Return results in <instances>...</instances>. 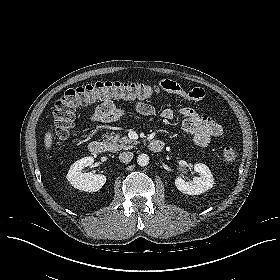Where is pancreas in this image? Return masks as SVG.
I'll return each mask as SVG.
<instances>
[{"label": "pancreas", "instance_id": "cf45deb5", "mask_svg": "<svg viewBox=\"0 0 280 280\" xmlns=\"http://www.w3.org/2000/svg\"><path fill=\"white\" fill-rule=\"evenodd\" d=\"M104 137L106 139L108 150L111 152L120 151L122 149H132L134 147L133 145L138 143L137 141L131 140L126 136L120 137L119 134L105 135Z\"/></svg>", "mask_w": 280, "mask_h": 280}]
</instances>
